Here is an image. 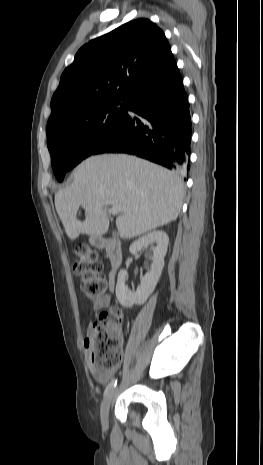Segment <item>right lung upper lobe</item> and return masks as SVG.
<instances>
[{
	"instance_id": "1",
	"label": "right lung upper lobe",
	"mask_w": 263,
	"mask_h": 465,
	"mask_svg": "<svg viewBox=\"0 0 263 465\" xmlns=\"http://www.w3.org/2000/svg\"><path fill=\"white\" fill-rule=\"evenodd\" d=\"M176 62L163 31L148 19L130 21L79 49L61 75L48 123L98 101L129 99Z\"/></svg>"
}]
</instances>
